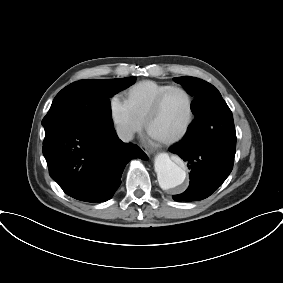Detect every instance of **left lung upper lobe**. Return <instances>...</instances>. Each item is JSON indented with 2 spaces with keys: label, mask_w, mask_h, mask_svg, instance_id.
<instances>
[{
  "label": "left lung upper lobe",
  "mask_w": 283,
  "mask_h": 283,
  "mask_svg": "<svg viewBox=\"0 0 283 283\" xmlns=\"http://www.w3.org/2000/svg\"><path fill=\"white\" fill-rule=\"evenodd\" d=\"M173 80L181 84L189 94L194 96L191 109L195 119L201 112H207L210 119L216 117L212 123L207 124V129L210 131V133H206L208 140L213 143L236 146L233 116L226 102L220 114L216 109L210 110L214 106L211 104L214 100H223L217 88L204 80L190 76L176 77Z\"/></svg>",
  "instance_id": "5c2ea615"
}]
</instances>
